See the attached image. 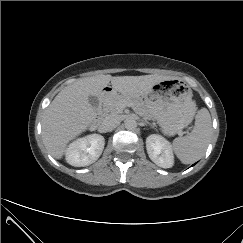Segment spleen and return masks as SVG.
Instances as JSON below:
<instances>
[{
	"mask_svg": "<svg viewBox=\"0 0 243 243\" xmlns=\"http://www.w3.org/2000/svg\"><path fill=\"white\" fill-rule=\"evenodd\" d=\"M212 134V121L206 108L200 109L195 116L192 131L173 140L172 149L183 164H191L203 157Z\"/></svg>",
	"mask_w": 243,
	"mask_h": 243,
	"instance_id": "1",
	"label": "spleen"
}]
</instances>
